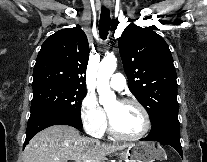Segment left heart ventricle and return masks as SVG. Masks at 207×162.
<instances>
[{
	"label": "left heart ventricle",
	"instance_id": "b2bd125f",
	"mask_svg": "<svg viewBox=\"0 0 207 162\" xmlns=\"http://www.w3.org/2000/svg\"><path fill=\"white\" fill-rule=\"evenodd\" d=\"M107 112L115 128L122 134L134 135L143 129V114L135 105H121L115 101L109 106Z\"/></svg>",
	"mask_w": 207,
	"mask_h": 162
}]
</instances>
